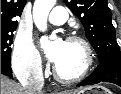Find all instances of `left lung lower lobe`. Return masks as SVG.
Wrapping results in <instances>:
<instances>
[{
  "label": "left lung lower lobe",
  "instance_id": "left-lung-lower-lobe-1",
  "mask_svg": "<svg viewBox=\"0 0 121 94\" xmlns=\"http://www.w3.org/2000/svg\"><path fill=\"white\" fill-rule=\"evenodd\" d=\"M100 82H110L121 86V61L100 63L78 86L93 85Z\"/></svg>",
  "mask_w": 121,
  "mask_h": 94
}]
</instances>
